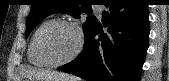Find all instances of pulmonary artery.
Instances as JSON below:
<instances>
[{"mask_svg": "<svg viewBox=\"0 0 169 81\" xmlns=\"http://www.w3.org/2000/svg\"><path fill=\"white\" fill-rule=\"evenodd\" d=\"M96 11H97V13L99 14V16H100V14H101V7L100 6H96Z\"/></svg>", "mask_w": 169, "mask_h": 81, "instance_id": "1", "label": "pulmonary artery"}]
</instances>
